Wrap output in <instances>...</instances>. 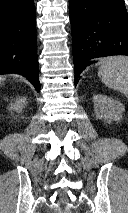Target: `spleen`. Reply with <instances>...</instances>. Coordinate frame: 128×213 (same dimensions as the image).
Instances as JSON below:
<instances>
[{
  "label": "spleen",
  "mask_w": 128,
  "mask_h": 213,
  "mask_svg": "<svg viewBox=\"0 0 128 213\" xmlns=\"http://www.w3.org/2000/svg\"><path fill=\"white\" fill-rule=\"evenodd\" d=\"M98 76L107 87L120 91L128 98V57L102 59Z\"/></svg>",
  "instance_id": "obj_1"
}]
</instances>
